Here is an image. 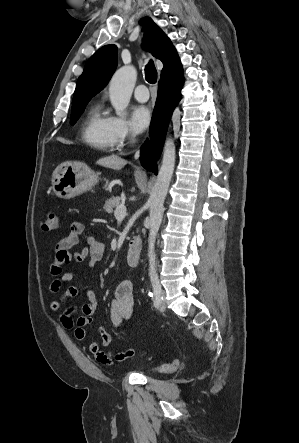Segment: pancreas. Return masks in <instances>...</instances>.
Returning <instances> with one entry per match:
<instances>
[{"label": "pancreas", "instance_id": "obj_1", "mask_svg": "<svg viewBox=\"0 0 299 443\" xmlns=\"http://www.w3.org/2000/svg\"><path fill=\"white\" fill-rule=\"evenodd\" d=\"M120 205V197H111L105 201L103 209L108 213L111 214L115 207Z\"/></svg>", "mask_w": 299, "mask_h": 443}]
</instances>
